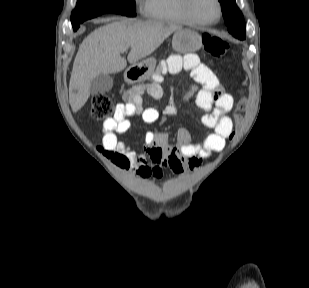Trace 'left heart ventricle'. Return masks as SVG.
<instances>
[{"label": "left heart ventricle", "instance_id": "b2bd125f", "mask_svg": "<svg viewBox=\"0 0 309 288\" xmlns=\"http://www.w3.org/2000/svg\"><path fill=\"white\" fill-rule=\"evenodd\" d=\"M193 11L202 21H214L218 17V6L215 0H193Z\"/></svg>", "mask_w": 309, "mask_h": 288}]
</instances>
